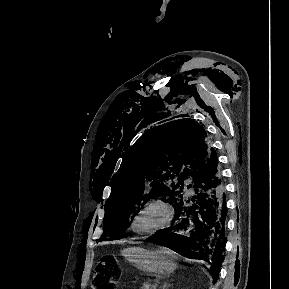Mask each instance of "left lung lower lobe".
Here are the masks:
<instances>
[{
    "mask_svg": "<svg viewBox=\"0 0 289 289\" xmlns=\"http://www.w3.org/2000/svg\"><path fill=\"white\" fill-rule=\"evenodd\" d=\"M187 188L189 191L179 195L173 204L172 226L149 239L187 258L207 261L216 281L224 260L227 213L225 187L216 152Z\"/></svg>",
    "mask_w": 289,
    "mask_h": 289,
    "instance_id": "obj_1",
    "label": "left lung lower lobe"
}]
</instances>
